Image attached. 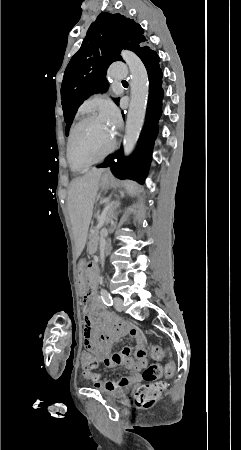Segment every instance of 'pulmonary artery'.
I'll list each match as a JSON object with an SVG mask.
<instances>
[{"label": "pulmonary artery", "mask_w": 241, "mask_h": 450, "mask_svg": "<svg viewBox=\"0 0 241 450\" xmlns=\"http://www.w3.org/2000/svg\"><path fill=\"white\" fill-rule=\"evenodd\" d=\"M106 78H119L120 80H127L129 73L126 71L125 64H110L105 72Z\"/></svg>", "instance_id": "1"}]
</instances>
